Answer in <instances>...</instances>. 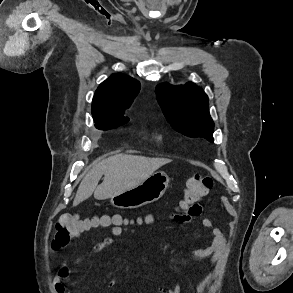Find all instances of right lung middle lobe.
Here are the masks:
<instances>
[{
  "mask_svg": "<svg viewBox=\"0 0 293 293\" xmlns=\"http://www.w3.org/2000/svg\"><path fill=\"white\" fill-rule=\"evenodd\" d=\"M129 121V118L124 117L122 114L104 116L94 119L96 127L101 130H108L123 125Z\"/></svg>",
  "mask_w": 293,
  "mask_h": 293,
  "instance_id": "obj_1",
  "label": "right lung middle lobe"
}]
</instances>
